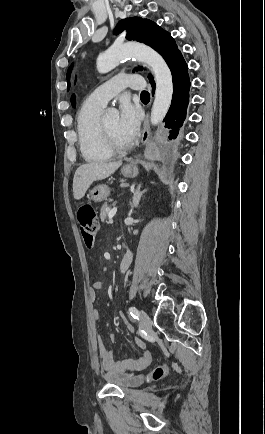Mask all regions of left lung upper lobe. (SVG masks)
Wrapping results in <instances>:
<instances>
[{"label":"left lung upper lobe","mask_w":265,"mask_h":434,"mask_svg":"<svg viewBox=\"0 0 265 434\" xmlns=\"http://www.w3.org/2000/svg\"><path fill=\"white\" fill-rule=\"evenodd\" d=\"M127 29L128 40H136L138 42L145 43L146 45L155 49L159 54L163 56L167 62L169 68L175 58L181 54L180 50L172 38L171 34L161 29L155 22L142 19L141 17H133L121 20L115 28V33L122 32ZM134 69L133 71H137ZM71 67L67 73L68 89L70 87L69 76ZM151 85H155L151 75L148 76Z\"/></svg>","instance_id":"obj_1"}]
</instances>
